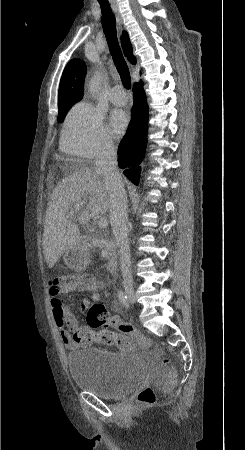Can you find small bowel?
<instances>
[{"label":"small bowel","mask_w":245,"mask_h":450,"mask_svg":"<svg viewBox=\"0 0 245 450\" xmlns=\"http://www.w3.org/2000/svg\"><path fill=\"white\" fill-rule=\"evenodd\" d=\"M91 288L85 289L82 287H75L69 289V291H87L89 296L84 298V304H88L92 300H96L99 298L98 290L103 286L101 282L96 281L93 278H90ZM59 289L51 287L48 290V295L50 298V308L52 312V317L55 322V325L58 328L59 336L61 341L65 344V346L69 349H79L84 348L91 343L84 344L77 340L76 332L80 329L77 325L76 318L74 314L69 309L68 305L61 301L57 296L59 294ZM117 318V317H115ZM111 328L119 329L117 326L113 325ZM155 350H159V347H156Z\"/></svg>","instance_id":"c3829d8e"}]
</instances>
